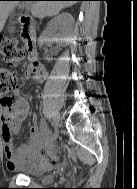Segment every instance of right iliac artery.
<instances>
[{"label":"right iliac artery","instance_id":"obj_1","mask_svg":"<svg viewBox=\"0 0 137 189\" xmlns=\"http://www.w3.org/2000/svg\"><path fill=\"white\" fill-rule=\"evenodd\" d=\"M47 125H51V119H48Z\"/></svg>","mask_w":137,"mask_h":189}]
</instances>
